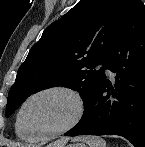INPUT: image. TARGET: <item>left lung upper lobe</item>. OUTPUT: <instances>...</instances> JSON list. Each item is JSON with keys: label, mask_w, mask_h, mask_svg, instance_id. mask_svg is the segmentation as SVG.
<instances>
[{"label": "left lung upper lobe", "mask_w": 145, "mask_h": 147, "mask_svg": "<svg viewBox=\"0 0 145 147\" xmlns=\"http://www.w3.org/2000/svg\"><path fill=\"white\" fill-rule=\"evenodd\" d=\"M130 2L81 0L49 25L18 69L5 116L9 117L30 95L55 86L78 91L86 110L104 76L105 61Z\"/></svg>", "instance_id": "1"}]
</instances>
